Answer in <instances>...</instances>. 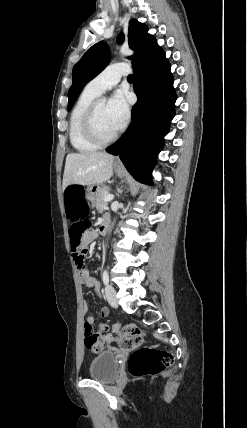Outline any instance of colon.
Wrapping results in <instances>:
<instances>
[{
    "label": "colon",
    "mask_w": 247,
    "mask_h": 428,
    "mask_svg": "<svg viewBox=\"0 0 247 428\" xmlns=\"http://www.w3.org/2000/svg\"><path fill=\"white\" fill-rule=\"evenodd\" d=\"M65 209L64 216L67 217L70 226V239L74 251L81 243L84 233L92 225V218L88 216L87 204L84 198L83 189L77 185L68 186L64 193ZM83 252L85 250H82ZM75 258L78 267L84 266V257L81 253H76ZM83 305L90 306L92 303L83 300ZM98 315L107 317L110 314L106 303L97 305ZM85 329V346L94 353L102 351L106 336L101 332H109V325H100L99 330L93 333V322L86 320L83 323ZM119 346L127 351H133L128 362V370L134 377L155 375L169 367L173 363L171 353L153 347H142L143 333L135 324H129L119 330Z\"/></svg>",
    "instance_id": "5ec220e1"
}]
</instances>
